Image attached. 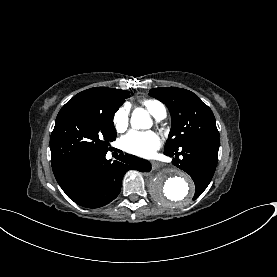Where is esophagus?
Here are the masks:
<instances>
[{
  "label": "esophagus",
  "mask_w": 277,
  "mask_h": 277,
  "mask_svg": "<svg viewBox=\"0 0 277 277\" xmlns=\"http://www.w3.org/2000/svg\"><path fill=\"white\" fill-rule=\"evenodd\" d=\"M151 166H152V169H157L158 167L161 166V162L156 161V160H152L151 161Z\"/></svg>",
  "instance_id": "1"
}]
</instances>
